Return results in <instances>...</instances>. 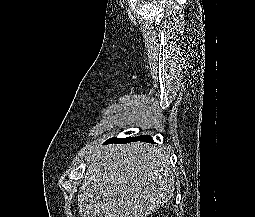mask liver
I'll use <instances>...</instances> for the list:
<instances>
[{"label":"liver","instance_id":"1","mask_svg":"<svg viewBox=\"0 0 255 217\" xmlns=\"http://www.w3.org/2000/svg\"><path fill=\"white\" fill-rule=\"evenodd\" d=\"M89 159L78 195L82 217H147L174 192L169 154L160 146L112 144Z\"/></svg>","mask_w":255,"mask_h":217}]
</instances>
